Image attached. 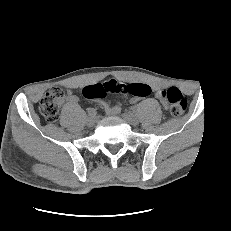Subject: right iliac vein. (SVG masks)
I'll return each instance as SVG.
<instances>
[{
    "label": "right iliac vein",
    "instance_id": "63e3f726",
    "mask_svg": "<svg viewBox=\"0 0 231 231\" xmlns=\"http://www.w3.org/2000/svg\"><path fill=\"white\" fill-rule=\"evenodd\" d=\"M96 121H97V118L95 115H89L87 118V124L90 126L94 125Z\"/></svg>",
    "mask_w": 231,
    "mask_h": 231
}]
</instances>
